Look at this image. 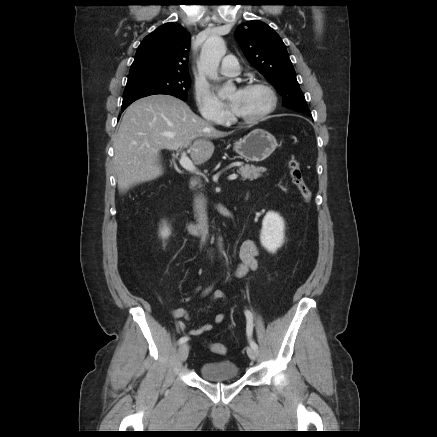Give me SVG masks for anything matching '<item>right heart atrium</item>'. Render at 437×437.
<instances>
[{
  "label": "right heart atrium",
  "mask_w": 437,
  "mask_h": 437,
  "mask_svg": "<svg viewBox=\"0 0 437 437\" xmlns=\"http://www.w3.org/2000/svg\"><path fill=\"white\" fill-rule=\"evenodd\" d=\"M195 101L201 116L207 120L221 122L227 116L225 105L206 87H195Z\"/></svg>",
  "instance_id": "1"
}]
</instances>
